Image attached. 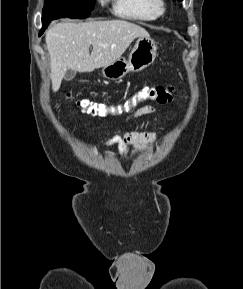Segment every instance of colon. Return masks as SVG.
Listing matches in <instances>:
<instances>
[{
	"mask_svg": "<svg viewBox=\"0 0 243 289\" xmlns=\"http://www.w3.org/2000/svg\"><path fill=\"white\" fill-rule=\"evenodd\" d=\"M67 96L71 97L69 93ZM174 97L175 88L173 86H155L140 89L123 105H108L89 99H77L75 103L85 114L98 118H106L108 116L122 115L144 101H156L160 104H165L171 102Z\"/></svg>",
	"mask_w": 243,
	"mask_h": 289,
	"instance_id": "obj_1",
	"label": "colon"
}]
</instances>
